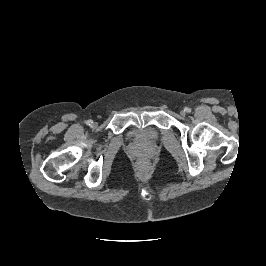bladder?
I'll return each mask as SVG.
<instances>
[{"mask_svg":"<svg viewBox=\"0 0 266 266\" xmlns=\"http://www.w3.org/2000/svg\"><path fill=\"white\" fill-rule=\"evenodd\" d=\"M130 138L138 145L151 146L158 142L160 134L152 127L138 128L131 131Z\"/></svg>","mask_w":266,"mask_h":266,"instance_id":"31cf9c89","label":"bladder"}]
</instances>
